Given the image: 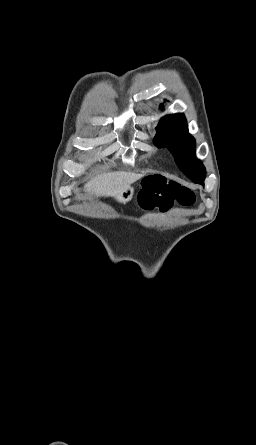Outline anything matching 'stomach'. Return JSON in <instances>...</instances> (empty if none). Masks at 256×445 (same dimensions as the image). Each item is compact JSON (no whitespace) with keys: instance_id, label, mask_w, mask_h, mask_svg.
Here are the masks:
<instances>
[{"instance_id":"stomach-1","label":"stomach","mask_w":256,"mask_h":445,"mask_svg":"<svg viewBox=\"0 0 256 445\" xmlns=\"http://www.w3.org/2000/svg\"><path fill=\"white\" fill-rule=\"evenodd\" d=\"M134 194V187L129 186L128 188L124 189L122 192L118 193L115 197L116 199L121 203H126L130 201Z\"/></svg>"}]
</instances>
